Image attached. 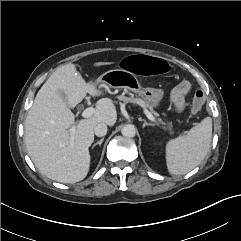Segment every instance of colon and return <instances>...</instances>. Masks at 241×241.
<instances>
[{
    "label": "colon",
    "instance_id": "5ec220e1",
    "mask_svg": "<svg viewBox=\"0 0 241 241\" xmlns=\"http://www.w3.org/2000/svg\"><path fill=\"white\" fill-rule=\"evenodd\" d=\"M121 66L126 71L140 76L167 75L172 70V63L167 58L147 54L135 56L126 54L121 59ZM204 100V95L201 91L195 93L192 106L195 113L202 109Z\"/></svg>",
    "mask_w": 241,
    "mask_h": 241
}]
</instances>
